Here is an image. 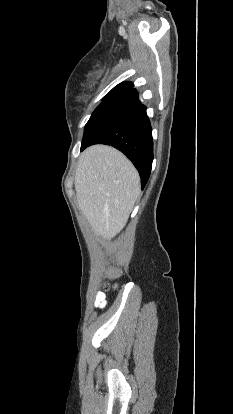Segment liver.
Listing matches in <instances>:
<instances>
[{
	"mask_svg": "<svg viewBox=\"0 0 233 414\" xmlns=\"http://www.w3.org/2000/svg\"><path fill=\"white\" fill-rule=\"evenodd\" d=\"M74 185L80 210L95 234L105 240L125 227L140 193L135 167L106 145H93L81 154Z\"/></svg>",
	"mask_w": 233,
	"mask_h": 414,
	"instance_id": "6515ba94",
	"label": "liver"
}]
</instances>
